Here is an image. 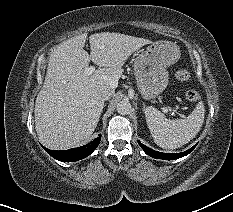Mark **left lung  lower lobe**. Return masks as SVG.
Wrapping results in <instances>:
<instances>
[{"label":"left lung lower lobe","mask_w":233,"mask_h":212,"mask_svg":"<svg viewBox=\"0 0 233 212\" xmlns=\"http://www.w3.org/2000/svg\"><path fill=\"white\" fill-rule=\"evenodd\" d=\"M138 143L147 155L154 157V158L165 159V160H173V159H178L183 156H186L196 147V145H194L192 148L182 153H161V152H157L155 150L148 148L147 146L142 144L140 141H138Z\"/></svg>","instance_id":"1"}]
</instances>
